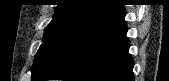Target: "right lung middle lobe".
<instances>
[{
	"label": "right lung middle lobe",
	"instance_id": "right-lung-middle-lobe-1",
	"mask_svg": "<svg viewBox=\"0 0 169 81\" xmlns=\"http://www.w3.org/2000/svg\"><path fill=\"white\" fill-rule=\"evenodd\" d=\"M86 22L81 18L53 19L45 29L43 44L35 55L32 73L37 71L54 51Z\"/></svg>",
	"mask_w": 169,
	"mask_h": 81
}]
</instances>
